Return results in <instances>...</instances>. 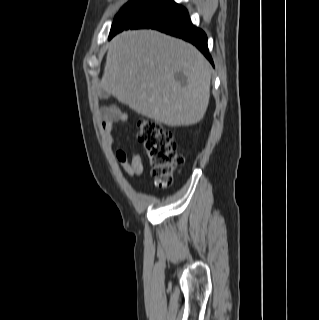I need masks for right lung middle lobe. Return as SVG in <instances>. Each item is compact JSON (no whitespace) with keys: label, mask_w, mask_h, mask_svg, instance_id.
I'll list each match as a JSON object with an SVG mask.
<instances>
[{"label":"right lung middle lobe","mask_w":319,"mask_h":320,"mask_svg":"<svg viewBox=\"0 0 319 320\" xmlns=\"http://www.w3.org/2000/svg\"><path fill=\"white\" fill-rule=\"evenodd\" d=\"M175 4L172 0H131L116 15L111 30L129 28L148 16L169 9Z\"/></svg>","instance_id":"right-lung-middle-lobe-1"}]
</instances>
